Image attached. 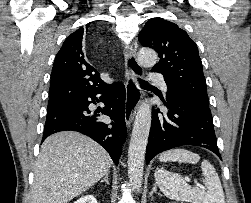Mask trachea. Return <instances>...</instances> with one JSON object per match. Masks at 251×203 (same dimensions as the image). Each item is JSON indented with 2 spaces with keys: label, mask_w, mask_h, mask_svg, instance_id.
<instances>
[{
  "label": "trachea",
  "mask_w": 251,
  "mask_h": 203,
  "mask_svg": "<svg viewBox=\"0 0 251 203\" xmlns=\"http://www.w3.org/2000/svg\"><path fill=\"white\" fill-rule=\"evenodd\" d=\"M141 86H148L149 84L144 80H139Z\"/></svg>",
  "instance_id": "obj_1"
}]
</instances>
